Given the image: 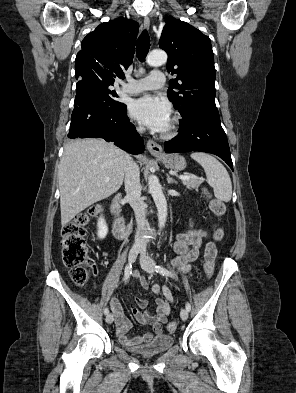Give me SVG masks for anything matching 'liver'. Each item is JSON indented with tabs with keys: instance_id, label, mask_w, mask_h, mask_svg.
<instances>
[{
	"instance_id": "1",
	"label": "liver",
	"mask_w": 296,
	"mask_h": 393,
	"mask_svg": "<svg viewBox=\"0 0 296 393\" xmlns=\"http://www.w3.org/2000/svg\"><path fill=\"white\" fill-rule=\"evenodd\" d=\"M126 155L103 139H77L65 145L58 170L63 227L78 213L120 189Z\"/></svg>"
}]
</instances>
